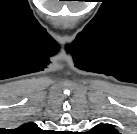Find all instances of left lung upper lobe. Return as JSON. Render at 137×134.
Instances as JSON below:
<instances>
[{
    "label": "left lung upper lobe",
    "mask_w": 137,
    "mask_h": 134,
    "mask_svg": "<svg viewBox=\"0 0 137 134\" xmlns=\"http://www.w3.org/2000/svg\"><path fill=\"white\" fill-rule=\"evenodd\" d=\"M90 134H118V131L110 124L100 123L94 126L90 131Z\"/></svg>",
    "instance_id": "left-lung-upper-lobe-1"
}]
</instances>
